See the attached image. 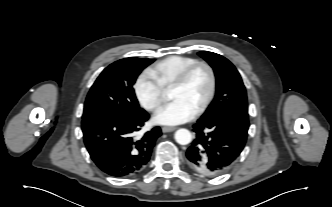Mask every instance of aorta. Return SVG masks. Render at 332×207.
Returning <instances> with one entry per match:
<instances>
[{
  "instance_id": "762f6f07",
  "label": "aorta",
  "mask_w": 332,
  "mask_h": 207,
  "mask_svg": "<svg viewBox=\"0 0 332 207\" xmlns=\"http://www.w3.org/2000/svg\"><path fill=\"white\" fill-rule=\"evenodd\" d=\"M175 140L177 143L181 145H187L191 142L192 140V135L189 130L187 129H179L175 132Z\"/></svg>"
}]
</instances>
